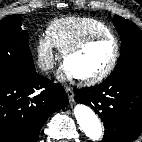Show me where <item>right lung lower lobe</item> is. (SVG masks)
I'll return each mask as SVG.
<instances>
[{"label":"right lung lower lobe","mask_w":142,"mask_h":142,"mask_svg":"<svg viewBox=\"0 0 142 142\" xmlns=\"http://www.w3.org/2000/svg\"><path fill=\"white\" fill-rule=\"evenodd\" d=\"M67 103L63 88L36 71L0 77V142H37L45 121Z\"/></svg>","instance_id":"1"}]
</instances>
